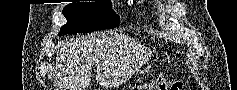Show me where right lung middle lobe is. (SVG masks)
Masks as SVG:
<instances>
[{"mask_svg": "<svg viewBox=\"0 0 237 90\" xmlns=\"http://www.w3.org/2000/svg\"><path fill=\"white\" fill-rule=\"evenodd\" d=\"M111 6L110 0L66 5L62 13L67 19V23L61 27L58 35L87 33L116 27L119 24V17Z\"/></svg>", "mask_w": 237, "mask_h": 90, "instance_id": "dd1d6c3e", "label": "right lung middle lobe"}]
</instances>
